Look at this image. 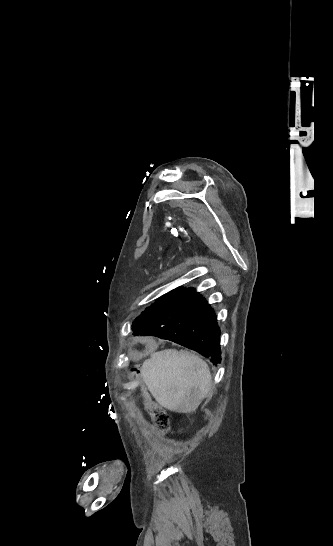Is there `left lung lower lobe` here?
<instances>
[{
    "instance_id": "0a47b994",
    "label": "left lung lower lobe",
    "mask_w": 333,
    "mask_h": 546,
    "mask_svg": "<svg viewBox=\"0 0 333 546\" xmlns=\"http://www.w3.org/2000/svg\"><path fill=\"white\" fill-rule=\"evenodd\" d=\"M134 335L157 336L193 349L221 363L220 328L215 311L193 288L161 307L140 328L133 322Z\"/></svg>"
}]
</instances>
